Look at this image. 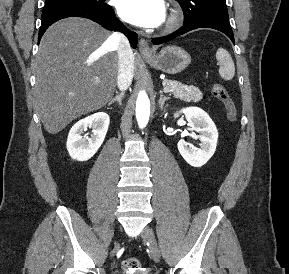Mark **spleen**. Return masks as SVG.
<instances>
[{"instance_id":"1","label":"spleen","mask_w":289,"mask_h":274,"mask_svg":"<svg viewBox=\"0 0 289 274\" xmlns=\"http://www.w3.org/2000/svg\"><path fill=\"white\" fill-rule=\"evenodd\" d=\"M216 58L219 62V75L224 80H231L235 75V66L231 55L223 48L216 52Z\"/></svg>"}]
</instances>
